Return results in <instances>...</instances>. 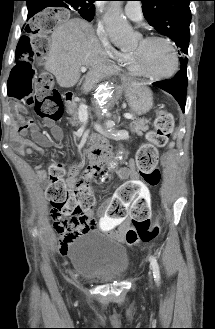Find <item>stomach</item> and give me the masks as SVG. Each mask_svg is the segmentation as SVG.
Returning <instances> with one entry per match:
<instances>
[{
  "mask_svg": "<svg viewBox=\"0 0 215 329\" xmlns=\"http://www.w3.org/2000/svg\"><path fill=\"white\" fill-rule=\"evenodd\" d=\"M125 94L131 112L135 115H143L153 107L151 90L141 83L129 82L125 86Z\"/></svg>",
  "mask_w": 215,
  "mask_h": 329,
  "instance_id": "1",
  "label": "stomach"
}]
</instances>
